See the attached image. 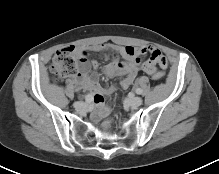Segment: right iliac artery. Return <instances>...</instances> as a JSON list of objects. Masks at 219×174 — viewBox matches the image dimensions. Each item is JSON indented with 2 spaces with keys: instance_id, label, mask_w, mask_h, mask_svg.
Instances as JSON below:
<instances>
[{
  "instance_id": "1",
  "label": "right iliac artery",
  "mask_w": 219,
  "mask_h": 174,
  "mask_svg": "<svg viewBox=\"0 0 219 174\" xmlns=\"http://www.w3.org/2000/svg\"><path fill=\"white\" fill-rule=\"evenodd\" d=\"M85 100H86L87 103H90L92 101V98L90 97V95H87L85 97Z\"/></svg>"
}]
</instances>
